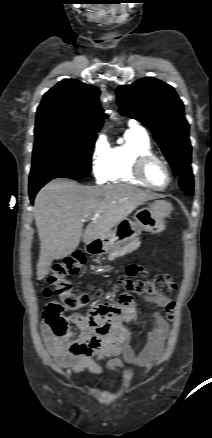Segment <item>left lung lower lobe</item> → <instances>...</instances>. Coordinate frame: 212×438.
Wrapping results in <instances>:
<instances>
[{"label":"left lung lower lobe","mask_w":212,"mask_h":438,"mask_svg":"<svg viewBox=\"0 0 212 438\" xmlns=\"http://www.w3.org/2000/svg\"><path fill=\"white\" fill-rule=\"evenodd\" d=\"M179 183L187 194L191 195L193 193V173L190 165L181 169L179 173Z\"/></svg>","instance_id":"left-lung-lower-lobe-1"}]
</instances>
